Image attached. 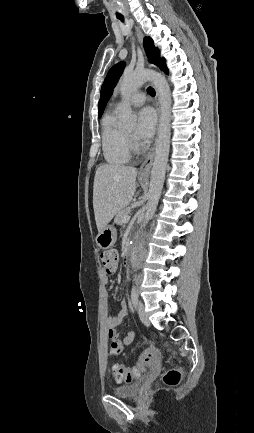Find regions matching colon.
<instances>
[{
	"instance_id": "1",
	"label": "colon",
	"mask_w": 254,
	"mask_h": 433,
	"mask_svg": "<svg viewBox=\"0 0 254 433\" xmlns=\"http://www.w3.org/2000/svg\"><path fill=\"white\" fill-rule=\"evenodd\" d=\"M101 263L107 274L113 275L117 270L118 254L115 250H106L100 255ZM110 354L115 352V348L110 347ZM155 356L149 352L145 351L141 354L138 363L135 367L126 368L120 365H113L112 373L117 382H131L150 365L153 364ZM182 378V373L179 369L172 368L169 369L164 375V382L169 386H177Z\"/></svg>"
}]
</instances>
